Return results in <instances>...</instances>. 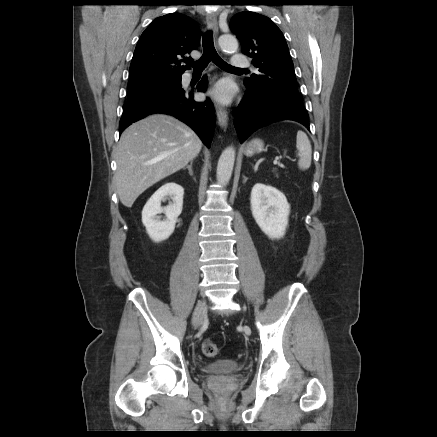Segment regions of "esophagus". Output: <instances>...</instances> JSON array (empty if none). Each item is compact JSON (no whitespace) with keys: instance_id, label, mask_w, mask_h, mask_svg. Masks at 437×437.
<instances>
[{"instance_id":"34e87169","label":"esophagus","mask_w":437,"mask_h":437,"mask_svg":"<svg viewBox=\"0 0 437 437\" xmlns=\"http://www.w3.org/2000/svg\"><path fill=\"white\" fill-rule=\"evenodd\" d=\"M206 22L209 30L213 31L214 35L217 36L218 33V23L217 16L215 13H209L206 16ZM216 114L218 118V123L222 128H226L228 124V111L226 108L220 104H215Z\"/></svg>"}]
</instances>
